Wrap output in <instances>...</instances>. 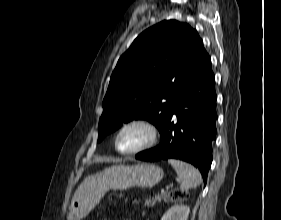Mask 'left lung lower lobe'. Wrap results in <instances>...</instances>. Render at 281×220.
<instances>
[{
	"label": "left lung lower lobe",
	"mask_w": 281,
	"mask_h": 220,
	"mask_svg": "<svg viewBox=\"0 0 281 220\" xmlns=\"http://www.w3.org/2000/svg\"><path fill=\"white\" fill-rule=\"evenodd\" d=\"M216 99L215 76L206 53L176 90L174 106L159 131L161 143L135 158L186 161L199 169L206 183L217 133Z\"/></svg>",
	"instance_id": "1"
}]
</instances>
